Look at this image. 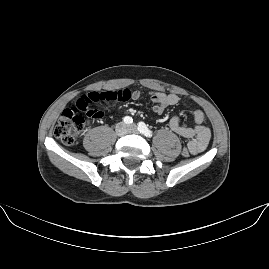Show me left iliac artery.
I'll return each instance as SVG.
<instances>
[{
  "label": "left iliac artery",
  "mask_w": 269,
  "mask_h": 269,
  "mask_svg": "<svg viewBox=\"0 0 269 269\" xmlns=\"http://www.w3.org/2000/svg\"><path fill=\"white\" fill-rule=\"evenodd\" d=\"M138 130L140 131V133L144 134L146 137L152 136V131L148 129V127L146 126L144 122L138 123Z\"/></svg>",
  "instance_id": "obj_1"
}]
</instances>
